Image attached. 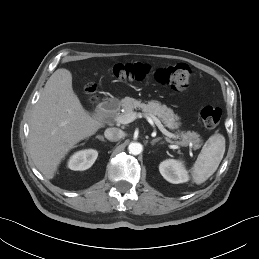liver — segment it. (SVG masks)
Here are the masks:
<instances>
[{
    "label": "liver",
    "mask_w": 259,
    "mask_h": 259,
    "mask_svg": "<svg viewBox=\"0 0 259 259\" xmlns=\"http://www.w3.org/2000/svg\"><path fill=\"white\" fill-rule=\"evenodd\" d=\"M104 123L83 108L69 70L57 69L45 84L30 119L29 152L36 168L52 179L61 160Z\"/></svg>",
    "instance_id": "liver-1"
}]
</instances>
